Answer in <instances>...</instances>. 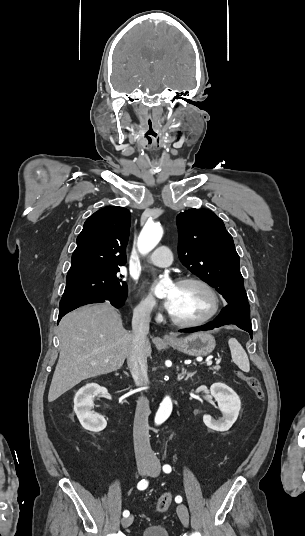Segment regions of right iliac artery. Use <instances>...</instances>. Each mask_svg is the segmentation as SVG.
Here are the masks:
<instances>
[{
  "mask_svg": "<svg viewBox=\"0 0 305 536\" xmlns=\"http://www.w3.org/2000/svg\"><path fill=\"white\" fill-rule=\"evenodd\" d=\"M147 486H148V481H146L145 479H143V480H141V481L138 483L137 488H138L139 490H144V489L147 488ZM129 514H130V513H129L128 510H125V511L123 512V516H124V517H128Z\"/></svg>",
  "mask_w": 305,
  "mask_h": 536,
  "instance_id": "1",
  "label": "right iliac artery"
}]
</instances>
